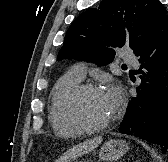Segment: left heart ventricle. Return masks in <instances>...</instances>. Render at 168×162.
<instances>
[{
	"instance_id": "b2bd125f",
	"label": "left heart ventricle",
	"mask_w": 168,
	"mask_h": 162,
	"mask_svg": "<svg viewBox=\"0 0 168 162\" xmlns=\"http://www.w3.org/2000/svg\"><path fill=\"white\" fill-rule=\"evenodd\" d=\"M75 106L79 116L91 125L104 123L113 114L103 92H86L77 99Z\"/></svg>"
}]
</instances>
